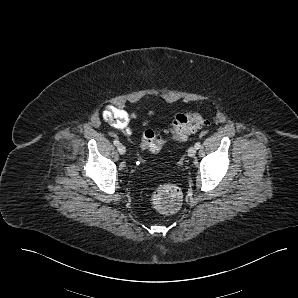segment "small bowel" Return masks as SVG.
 <instances>
[{
	"instance_id": "small-bowel-1",
	"label": "small bowel",
	"mask_w": 298,
	"mask_h": 298,
	"mask_svg": "<svg viewBox=\"0 0 298 298\" xmlns=\"http://www.w3.org/2000/svg\"><path fill=\"white\" fill-rule=\"evenodd\" d=\"M102 118L116 129L124 130L127 134L131 133L129 123L135 118V114L128 113L124 109L109 105L102 113Z\"/></svg>"
}]
</instances>
